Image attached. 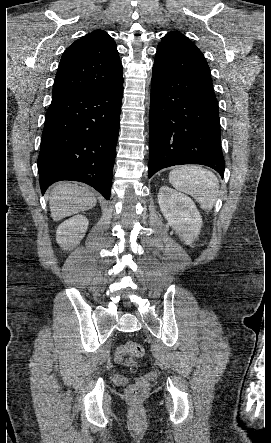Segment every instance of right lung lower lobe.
<instances>
[{
  "label": "right lung lower lobe",
  "mask_w": 271,
  "mask_h": 443,
  "mask_svg": "<svg viewBox=\"0 0 271 443\" xmlns=\"http://www.w3.org/2000/svg\"><path fill=\"white\" fill-rule=\"evenodd\" d=\"M122 84L52 97L37 162L42 194L54 182L70 180L110 198Z\"/></svg>",
  "instance_id": "1"
}]
</instances>
